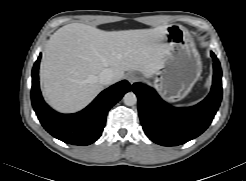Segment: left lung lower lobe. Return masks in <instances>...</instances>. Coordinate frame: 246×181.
I'll return each mask as SVG.
<instances>
[{
  "instance_id": "left-lung-lower-lobe-1",
  "label": "left lung lower lobe",
  "mask_w": 246,
  "mask_h": 181,
  "mask_svg": "<svg viewBox=\"0 0 246 181\" xmlns=\"http://www.w3.org/2000/svg\"><path fill=\"white\" fill-rule=\"evenodd\" d=\"M214 76L209 95L193 107L175 108L142 83L132 86L138 97V112L146 135L162 146L184 144L202 134L211 124L222 99L220 63L213 52Z\"/></svg>"
}]
</instances>
